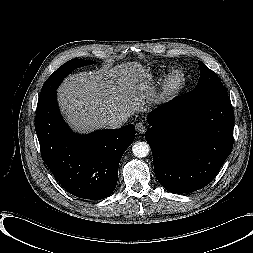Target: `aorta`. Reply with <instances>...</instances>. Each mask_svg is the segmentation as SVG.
Wrapping results in <instances>:
<instances>
[{"instance_id": "1", "label": "aorta", "mask_w": 253, "mask_h": 253, "mask_svg": "<svg viewBox=\"0 0 253 253\" xmlns=\"http://www.w3.org/2000/svg\"><path fill=\"white\" fill-rule=\"evenodd\" d=\"M132 152L136 157L144 158L149 154L150 148L146 142L136 141L132 146Z\"/></svg>"}]
</instances>
